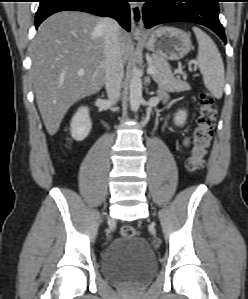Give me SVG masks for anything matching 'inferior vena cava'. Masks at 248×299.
Returning <instances> with one entry per match:
<instances>
[{"mask_svg": "<svg viewBox=\"0 0 248 299\" xmlns=\"http://www.w3.org/2000/svg\"><path fill=\"white\" fill-rule=\"evenodd\" d=\"M103 32L105 55V85L110 104L120 97L123 79V60L119 41V25L111 18H103L98 26Z\"/></svg>", "mask_w": 248, "mask_h": 299, "instance_id": "1", "label": "inferior vena cava"}]
</instances>
